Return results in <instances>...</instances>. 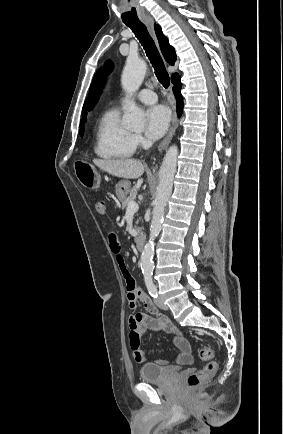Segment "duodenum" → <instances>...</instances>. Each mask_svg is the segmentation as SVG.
Masks as SVG:
<instances>
[{
	"label": "duodenum",
	"instance_id": "duodenum-1",
	"mask_svg": "<svg viewBox=\"0 0 283 434\" xmlns=\"http://www.w3.org/2000/svg\"><path fill=\"white\" fill-rule=\"evenodd\" d=\"M135 242H136V247H137V249H138L139 251H143V250H144V247H145V243H146V238H145V236H144L143 234H139V235L136 237Z\"/></svg>",
	"mask_w": 283,
	"mask_h": 434
}]
</instances>
